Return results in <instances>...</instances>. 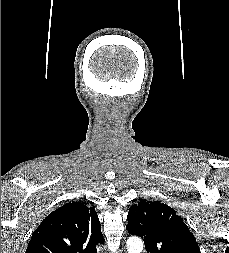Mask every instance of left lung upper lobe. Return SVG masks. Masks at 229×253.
Here are the masks:
<instances>
[{
  "instance_id": "left-lung-upper-lobe-1",
  "label": "left lung upper lobe",
  "mask_w": 229,
  "mask_h": 253,
  "mask_svg": "<svg viewBox=\"0 0 229 253\" xmlns=\"http://www.w3.org/2000/svg\"><path fill=\"white\" fill-rule=\"evenodd\" d=\"M127 220L128 232L143 238L149 253H200L183 219L164 203L141 200L130 207Z\"/></svg>"
}]
</instances>
